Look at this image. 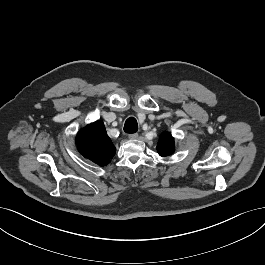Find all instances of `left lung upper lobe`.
<instances>
[{
  "mask_svg": "<svg viewBox=\"0 0 265 265\" xmlns=\"http://www.w3.org/2000/svg\"><path fill=\"white\" fill-rule=\"evenodd\" d=\"M174 139L173 137L169 134L164 132L160 140L157 144V151L160 156H167L171 155L174 152Z\"/></svg>",
  "mask_w": 265,
  "mask_h": 265,
  "instance_id": "1",
  "label": "left lung upper lobe"
}]
</instances>
